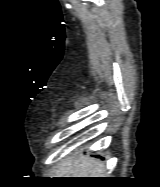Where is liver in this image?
I'll return each instance as SVG.
<instances>
[{"mask_svg":"<svg viewBox=\"0 0 160 187\" xmlns=\"http://www.w3.org/2000/svg\"><path fill=\"white\" fill-rule=\"evenodd\" d=\"M55 174L58 178H103L106 170L104 164L95 158L82 156L65 160Z\"/></svg>","mask_w":160,"mask_h":187,"instance_id":"liver-1","label":"liver"}]
</instances>
